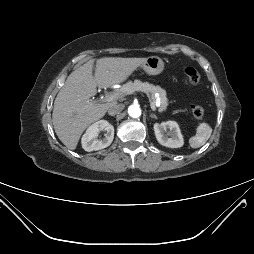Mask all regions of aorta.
<instances>
[{
	"instance_id": "762f6f07",
	"label": "aorta",
	"mask_w": 254,
	"mask_h": 254,
	"mask_svg": "<svg viewBox=\"0 0 254 254\" xmlns=\"http://www.w3.org/2000/svg\"><path fill=\"white\" fill-rule=\"evenodd\" d=\"M128 114L133 118H137L141 115V110H140L139 106L131 105L128 108Z\"/></svg>"
}]
</instances>
